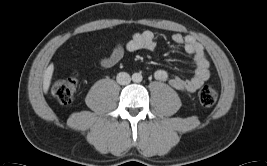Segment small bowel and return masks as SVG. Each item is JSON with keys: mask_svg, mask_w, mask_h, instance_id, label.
I'll return each instance as SVG.
<instances>
[{"mask_svg": "<svg viewBox=\"0 0 267 166\" xmlns=\"http://www.w3.org/2000/svg\"><path fill=\"white\" fill-rule=\"evenodd\" d=\"M174 43L184 47L185 51L192 56L195 66L194 74L189 78L180 76L170 77L165 69H159L154 76L157 80L168 81L169 84L178 89L187 92H195L210 76V65L205 56L200 43L192 36H184L175 33L172 36ZM157 48L154 34L149 31L135 33L124 45H116L109 55L99 59L98 63L103 68H109L116 65L124 56L125 51L135 52L138 50L155 51Z\"/></svg>", "mask_w": 267, "mask_h": 166, "instance_id": "c3829d8e", "label": "small bowel"}]
</instances>
